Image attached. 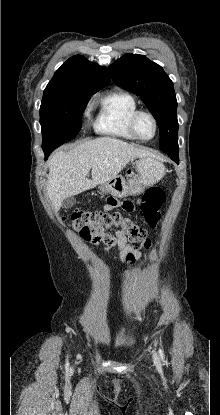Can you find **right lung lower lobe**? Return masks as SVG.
<instances>
[{"label": "right lung lower lobe", "mask_w": 220, "mask_h": 415, "mask_svg": "<svg viewBox=\"0 0 220 415\" xmlns=\"http://www.w3.org/2000/svg\"><path fill=\"white\" fill-rule=\"evenodd\" d=\"M55 148H49V149H44V153H45V159L48 158L49 154L54 150Z\"/></svg>", "instance_id": "98d812e1"}]
</instances>
